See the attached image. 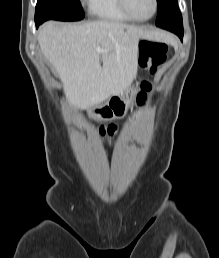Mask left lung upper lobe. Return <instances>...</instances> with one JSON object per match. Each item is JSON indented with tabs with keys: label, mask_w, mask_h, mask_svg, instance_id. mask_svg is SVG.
Here are the masks:
<instances>
[{
	"label": "left lung upper lobe",
	"mask_w": 219,
	"mask_h": 258,
	"mask_svg": "<svg viewBox=\"0 0 219 258\" xmlns=\"http://www.w3.org/2000/svg\"><path fill=\"white\" fill-rule=\"evenodd\" d=\"M158 15L156 26L164 24H182V16L179 11L177 0H157Z\"/></svg>",
	"instance_id": "5c2ea615"
}]
</instances>
